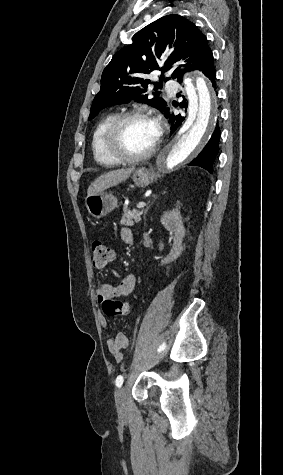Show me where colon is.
Here are the masks:
<instances>
[{
    "label": "colon",
    "instance_id": "5ec220e1",
    "mask_svg": "<svg viewBox=\"0 0 283 475\" xmlns=\"http://www.w3.org/2000/svg\"><path fill=\"white\" fill-rule=\"evenodd\" d=\"M93 264L95 267H105L113 256L112 248L103 241H94L92 245ZM104 314H127L128 304L106 300L102 308Z\"/></svg>",
    "mask_w": 283,
    "mask_h": 475
}]
</instances>
